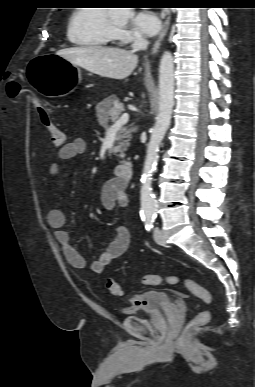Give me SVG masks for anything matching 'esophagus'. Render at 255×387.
<instances>
[{
    "label": "esophagus",
    "instance_id": "34e87169",
    "mask_svg": "<svg viewBox=\"0 0 255 387\" xmlns=\"http://www.w3.org/2000/svg\"><path fill=\"white\" fill-rule=\"evenodd\" d=\"M169 26H170V16L168 15L163 23L161 32L159 33V36L152 47V50H151L152 54H155L159 50L161 42L164 39V37L169 29Z\"/></svg>",
    "mask_w": 255,
    "mask_h": 387
}]
</instances>
